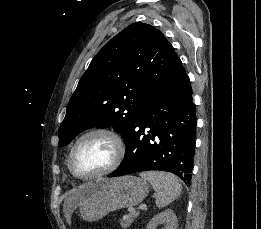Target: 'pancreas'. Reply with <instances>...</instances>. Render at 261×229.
<instances>
[{
  "label": "pancreas",
  "instance_id": "1",
  "mask_svg": "<svg viewBox=\"0 0 261 229\" xmlns=\"http://www.w3.org/2000/svg\"><path fill=\"white\" fill-rule=\"evenodd\" d=\"M139 213L138 214H133V213H128L127 217L128 219H123V221H120V225L122 227V229H128V227H130L131 223H133V221H135V219H137Z\"/></svg>",
  "mask_w": 261,
  "mask_h": 229
}]
</instances>
